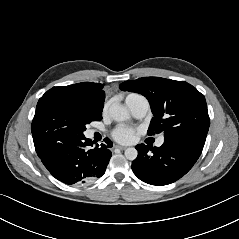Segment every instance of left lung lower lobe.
Returning a JSON list of instances; mask_svg holds the SVG:
<instances>
[{
    "label": "left lung lower lobe",
    "instance_id": "obj_1",
    "mask_svg": "<svg viewBox=\"0 0 239 239\" xmlns=\"http://www.w3.org/2000/svg\"><path fill=\"white\" fill-rule=\"evenodd\" d=\"M136 149L134 174L145 183L162 186L184 176L198 160L203 147L182 139L164 138L161 147L139 144Z\"/></svg>",
    "mask_w": 239,
    "mask_h": 239
}]
</instances>
